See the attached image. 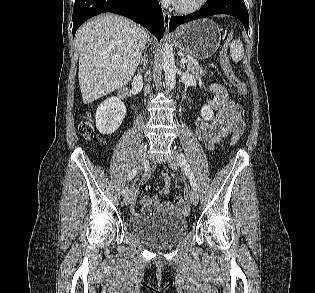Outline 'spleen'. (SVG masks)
I'll return each instance as SVG.
<instances>
[{
	"mask_svg": "<svg viewBox=\"0 0 315 293\" xmlns=\"http://www.w3.org/2000/svg\"><path fill=\"white\" fill-rule=\"evenodd\" d=\"M230 52L234 62H239L244 55V48L242 42L238 39L232 41L230 45Z\"/></svg>",
	"mask_w": 315,
	"mask_h": 293,
	"instance_id": "obj_1",
	"label": "spleen"
}]
</instances>
